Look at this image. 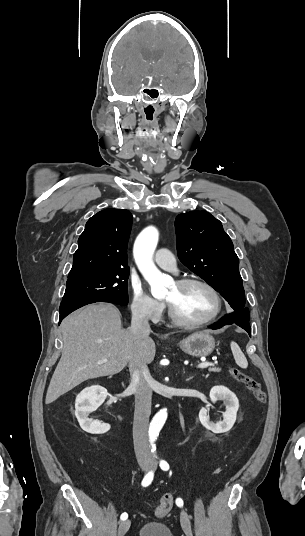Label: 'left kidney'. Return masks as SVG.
<instances>
[{"label": "left kidney", "instance_id": "1", "mask_svg": "<svg viewBox=\"0 0 305 536\" xmlns=\"http://www.w3.org/2000/svg\"><path fill=\"white\" fill-rule=\"evenodd\" d=\"M210 400L211 402H217V400H223L225 408L224 420L214 424V422H209L208 412L209 406L201 408L199 412V420L207 430H211L213 434H224V432H229L233 424H235L236 414L239 408L238 398H236L233 392H230L225 386H214L210 390Z\"/></svg>", "mask_w": 305, "mask_h": 536}]
</instances>
